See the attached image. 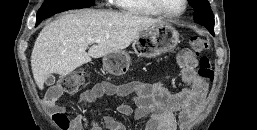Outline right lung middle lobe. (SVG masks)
Wrapping results in <instances>:
<instances>
[{
  "label": "right lung middle lobe",
  "instance_id": "1",
  "mask_svg": "<svg viewBox=\"0 0 257 130\" xmlns=\"http://www.w3.org/2000/svg\"><path fill=\"white\" fill-rule=\"evenodd\" d=\"M94 0H45L37 13V24L44 18L73 7H91Z\"/></svg>",
  "mask_w": 257,
  "mask_h": 130
}]
</instances>
